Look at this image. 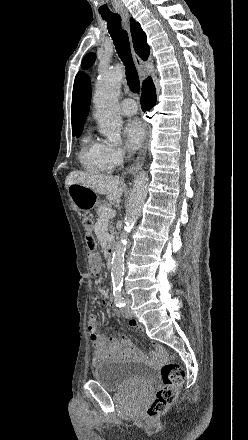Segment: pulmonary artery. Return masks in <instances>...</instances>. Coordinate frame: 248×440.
<instances>
[{"mask_svg":"<svg viewBox=\"0 0 248 440\" xmlns=\"http://www.w3.org/2000/svg\"><path fill=\"white\" fill-rule=\"evenodd\" d=\"M120 110L123 115L132 116L137 112V105L133 99L126 98L121 102Z\"/></svg>","mask_w":248,"mask_h":440,"instance_id":"obj_1","label":"pulmonary artery"}]
</instances>
